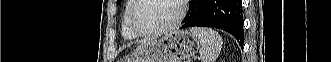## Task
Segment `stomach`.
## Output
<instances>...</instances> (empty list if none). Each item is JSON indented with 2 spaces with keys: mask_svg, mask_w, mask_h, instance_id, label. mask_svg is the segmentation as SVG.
Here are the masks:
<instances>
[{
  "mask_svg": "<svg viewBox=\"0 0 331 62\" xmlns=\"http://www.w3.org/2000/svg\"><path fill=\"white\" fill-rule=\"evenodd\" d=\"M200 39L187 30L171 31L159 39L138 45L131 54L133 62H181L195 55Z\"/></svg>",
  "mask_w": 331,
  "mask_h": 62,
  "instance_id": "0dacf381",
  "label": "stomach"
}]
</instances>
